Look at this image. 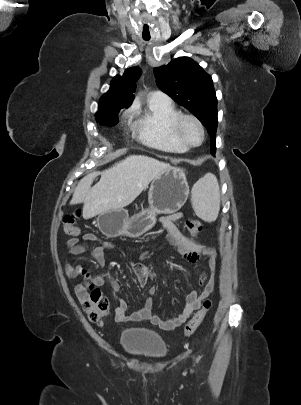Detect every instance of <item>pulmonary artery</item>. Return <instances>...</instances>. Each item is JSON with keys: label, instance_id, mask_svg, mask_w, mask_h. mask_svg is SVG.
<instances>
[{"label": "pulmonary artery", "instance_id": "1", "mask_svg": "<svg viewBox=\"0 0 301 405\" xmlns=\"http://www.w3.org/2000/svg\"><path fill=\"white\" fill-rule=\"evenodd\" d=\"M149 101L166 105L171 104L170 97L161 91H153L149 96Z\"/></svg>", "mask_w": 301, "mask_h": 405}]
</instances>
